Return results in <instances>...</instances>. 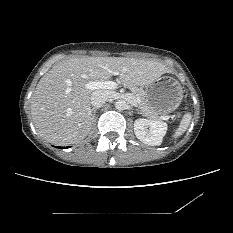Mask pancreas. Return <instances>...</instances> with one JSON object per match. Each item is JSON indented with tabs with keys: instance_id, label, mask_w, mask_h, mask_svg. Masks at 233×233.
Instances as JSON below:
<instances>
[{
	"instance_id": "pancreas-1",
	"label": "pancreas",
	"mask_w": 233,
	"mask_h": 233,
	"mask_svg": "<svg viewBox=\"0 0 233 233\" xmlns=\"http://www.w3.org/2000/svg\"><path fill=\"white\" fill-rule=\"evenodd\" d=\"M135 95L136 98H139L138 106L141 109L144 116L150 118V119H159L160 116L158 113H156L153 109H151L146 100H145V92L142 88H138L133 85L125 84Z\"/></svg>"
}]
</instances>
